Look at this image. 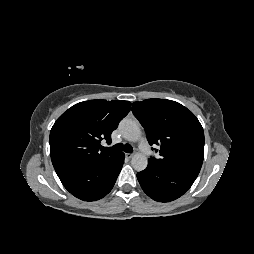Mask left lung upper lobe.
I'll return each mask as SVG.
<instances>
[{
	"instance_id": "left-lung-upper-lobe-1",
	"label": "left lung upper lobe",
	"mask_w": 254,
	"mask_h": 254,
	"mask_svg": "<svg viewBox=\"0 0 254 254\" xmlns=\"http://www.w3.org/2000/svg\"><path fill=\"white\" fill-rule=\"evenodd\" d=\"M150 145H160V158L150 161L199 174L204 157V131L195 115L178 102L147 99L132 104ZM157 151V150H156Z\"/></svg>"
}]
</instances>
